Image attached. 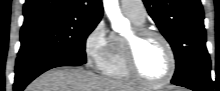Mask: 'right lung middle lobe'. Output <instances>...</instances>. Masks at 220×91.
I'll list each match as a JSON object with an SVG mask.
<instances>
[{
  "label": "right lung middle lobe",
  "instance_id": "obj_1",
  "mask_svg": "<svg viewBox=\"0 0 220 91\" xmlns=\"http://www.w3.org/2000/svg\"><path fill=\"white\" fill-rule=\"evenodd\" d=\"M100 20L57 16L23 24L18 56L44 51L66 53L86 62L85 41Z\"/></svg>",
  "mask_w": 220,
  "mask_h": 91
}]
</instances>
